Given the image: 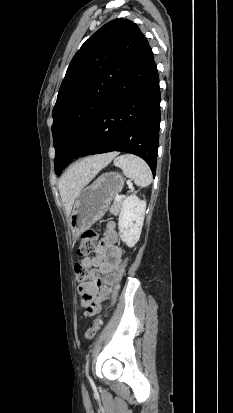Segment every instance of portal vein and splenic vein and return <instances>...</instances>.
Here are the masks:
<instances>
[{
  "label": "portal vein and splenic vein",
  "mask_w": 233,
  "mask_h": 413,
  "mask_svg": "<svg viewBox=\"0 0 233 413\" xmlns=\"http://www.w3.org/2000/svg\"><path fill=\"white\" fill-rule=\"evenodd\" d=\"M122 197H123V195H117L116 197H115V201H120L121 199H122Z\"/></svg>",
  "instance_id": "1"
}]
</instances>
